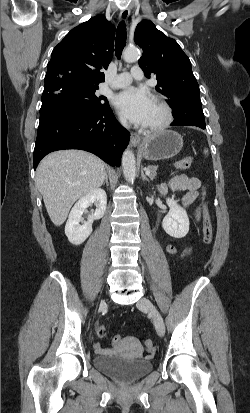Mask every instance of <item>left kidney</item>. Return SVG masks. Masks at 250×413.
I'll return each mask as SVG.
<instances>
[{"mask_svg":"<svg viewBox=\"0 0 250 413\" xmlns=\"http://www.w3.org/2000/svg\"><path fill=\"white\" fill-rule=\"evenodd\" d=\"M166 203L170 208L169 213L162 221L165 232L174 238H183L189 231V218L187 212L177 204L174 198H167Z\"/></svg>","mask_w":250,"mask_h":413,"instance_id":"left-kidney-1","label":"left kidney"}]
</instances>
